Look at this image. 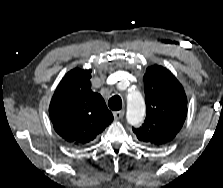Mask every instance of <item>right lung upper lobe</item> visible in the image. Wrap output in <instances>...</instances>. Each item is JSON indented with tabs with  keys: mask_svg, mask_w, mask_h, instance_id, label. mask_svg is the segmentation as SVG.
I'll return each instance as SVG.
<instances>
[{
	"mask_svg": "<svg viewBox=\"0 0 223 188\" xmlns=\"http://www.w3.org/2000/svg\"><path fill=\"white\" fill-rule=\"evenodd\" d=\"M90 78L91 70L69 71L49 106L55 131L74 146L92 142L113 120L102 96L91 90Z\"/></svg>",
	"mask_w": 223,
	"mask_h": 188,
	"instance_id": "obj_1",
	"label": "right lung upper lobe"
}]
</instances>
